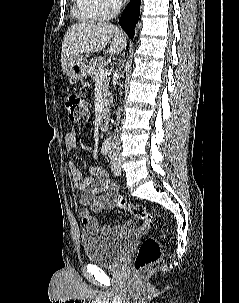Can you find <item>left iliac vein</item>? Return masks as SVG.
Here are the masks:
<instances>
[{"instance_id": "1", "label": "left iliac vein", "mask_w": 239, "mask_h": 303, "mask_svg": "<svg viewBox=\"0 0 239 303\" xmlns=\"http://www.w3.org/2000/svg\"><path fill=\"white\" fill-rule=\"evenodd\" d=\"M111 169L114 175L119 176L121 175V166L119 158H112L111 157Z\"/></svg>"}]
</instances>
